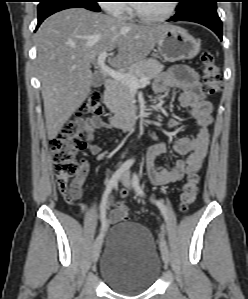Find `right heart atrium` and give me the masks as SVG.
Returning <instances> with one entry per match:
<instances>
[{"mask_svg":"<svg viewBox=\"0 0 248 299\" xmlns=\"http://www.w3.org/2000/svg\"><path fill=\"white\" fill-rule=\"evenodd\" d=\"M103 9L114 16H122L127 13V6L124 0H102Z\"/></svg>","mask_w":248,"mask_h":299,"instance_id":"1","label":"right heart atrium"}]
</instances>
